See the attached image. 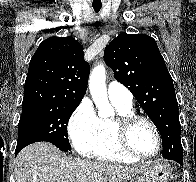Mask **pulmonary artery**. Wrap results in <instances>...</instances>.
<instances>
[{
    "label": "pulmonary artery",
    "mask_w": 196,
    "mask_h": 182,
    "mask_svg": "<svg viewBox=\"0 0 196 182\" xmlns=\"http://www.w3.org/2000/svg\"><path fill=\"white\" fill-rule=\"evenodd\" d=\"M107 94L111 101L131 105L133 96L131 92L119 82H110L107 87Z\"/></svg>",
    "instance_id": "e3ab8cb5"
}]
</instances>
